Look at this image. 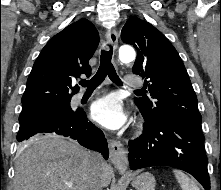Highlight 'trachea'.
<instances>
[{"label": "trachea", "mask_w": 221, "mask_h": 190, "mask_svg": "<svg viewBox=\"0 0 221 190\" xmlns=\"http://www.w3.org/2000/svg\"><path fill=\"white\" fill-rule=\"evenodd\" d=\"M112 54H113V47L111 45L109 46V50H102L100 66L97 73L94 75V77L91 80H82L79 82V84L83 87H86L88 90L95 89L98 85H100L104 81L106 76H108L110 80L116 83L117 85H123L112 64ZM136 91H142V90H136Z\"/></svg>", "instance_id": "3493384b"}]
</instances>
